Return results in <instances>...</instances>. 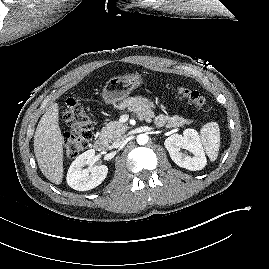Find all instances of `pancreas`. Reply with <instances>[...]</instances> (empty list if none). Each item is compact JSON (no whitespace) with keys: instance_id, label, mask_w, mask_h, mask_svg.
I'll use <instances>...</instances> for the list:
<instances>
[{"instance_id":"pancreas-1","label":"pancreas","mask_w":269,"mask_h":269,"mask_svg":"<svg viewBox=\"0 0 269 269\" xmlns=\"http://www.w3.org/2000/svg\"><path fill=\"white\" fill-rule=\"evenodd\" d=\"M193 120L184 119L181 116L174 115L170 117L169 115L160 114L155 118V125L158 127L165 126L166 128H176L182 127L184 124H191ZM129 127L126 124H123L119 121H111L107 124L106 127H103L100 133V138L108 142L116 138H120Z\"/></svg>"}]
</instances>
